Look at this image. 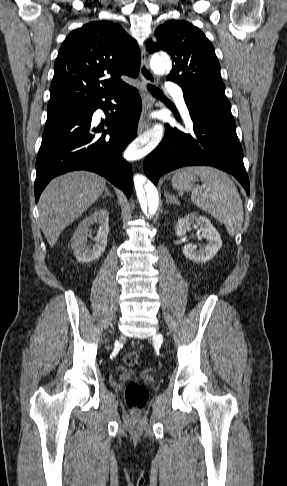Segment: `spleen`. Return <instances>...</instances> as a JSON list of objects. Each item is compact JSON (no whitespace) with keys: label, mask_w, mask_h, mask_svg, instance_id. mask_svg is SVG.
I'll use <instances>...</instances> for the list:
<instances>
[{"label":"spleen","mask_w":287,"mask_h":486,"mask_svg":"<svg viewBox=\"0 0 287 486\" xmlns=\"http://www.w3.org/2000/svg\"><path fill=\"white\" fill-rule=\"evenodd\" d=\"M203 182L191 193V201L200 209L224 224L230 236H235L244 221L243 204L240 194L230 177L213 167L190 168Z\"/></svg>","instance_id":"obj_1"}]
</instances>
